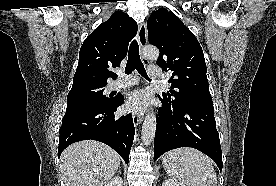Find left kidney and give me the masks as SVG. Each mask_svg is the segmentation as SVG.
<instances>
[{"label":"left kidney","mask_w":276,"mask_h":186,"mask_svg":"<svg viewBox=\"0 0 276 186\" xmlns=\"http://www.w3.org/2000/svg\"><path fill=\"white\" fill-rule=\"evenodd\" d=\"M162 186H185V185L182 184V183H179V182H177V181H174V180H172V179H166V180L163 182Z\"/></svg>","instance_id":"1"}]
</instances>
